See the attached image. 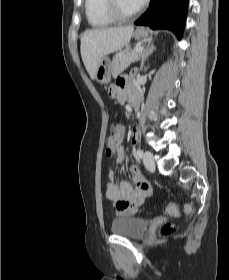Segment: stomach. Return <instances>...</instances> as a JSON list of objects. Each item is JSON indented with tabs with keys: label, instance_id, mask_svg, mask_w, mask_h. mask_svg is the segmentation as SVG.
<instances>
[{
	"label": "stomach",
	"instance_id": "0dacf381",
	"mask_svg": "<svg viewBox=\"0 0 229 280\" xmlns=\"http://www.w3.org/2000/svg\"><path fill=\"white\" fill-rule=\"evenodd\" d=\"M136 40L144 39L148 36V31L145 28H138L134 34ZM94 79L101 84H108L111 80V62L105 57L99 63Z\"/></svg>",
	"mask_w": 229,
	"mask_h": 280
}]
</instances>
